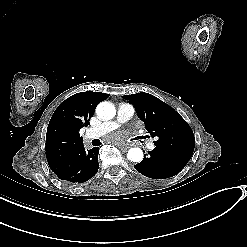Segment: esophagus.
Here are the masks:
<instances>
[{"label":"esophagus","mask_w":247,"mask_h":247,"mask_svg":"<svg viewBox=\"0 0 247 247\" xmlns=\"http://www.w3.org/2000/svg\"><path fill=\"white\" fill-rule=\"evenodd\" d=\"M131 146L130 145H123V144H121V145H119V148L121 149V150H123V151H125V150H127V149H129Z\"/></svg>","instance_id":"esophagus-1"}]
</instances>
